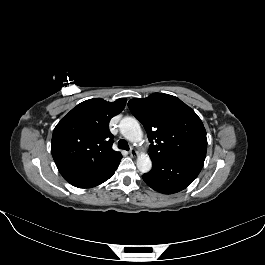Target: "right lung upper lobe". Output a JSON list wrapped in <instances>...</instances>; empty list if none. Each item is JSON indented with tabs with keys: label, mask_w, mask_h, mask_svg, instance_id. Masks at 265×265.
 <instances>
[{
	"label": "right lung upper lobe",
	"mask_w": 265,
	"mask_h": 265,
	"mask_svg": "<svg viewBox=\"0 0 265 265\" xmlns=\"http://www.w3.org/2000/svg\"><path fill=\"white\" fill-rule=\"evenodd\" d=\"M126 99L86 100L60 120L53 131L51 152L59 170L84 165H105L121 158L112 149L109 122L125 107Z\"/></svg>",
	"instance_id": "cb5924a9"
}]
</instances>
